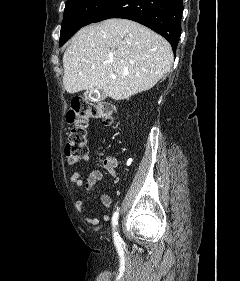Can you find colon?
<instances>
[{"instance_id": "1", "label": "colon", "mask_w": 240, "mask_h": 281, "mask_svg": "<svg viewBox=\"0 0 240 281\" xmlns=\"http://www.w3.org/2000/svg\"><path fill=\"white\" fill-rule=\"evenodd\" d=\"M91 119L101 120L106 125L114 121L112 105L105 101H88L74 98L66 114L69 125L65 144V156L69 163L75 164L88 155L87 128Z\"/></svg>"}]
</instances>
